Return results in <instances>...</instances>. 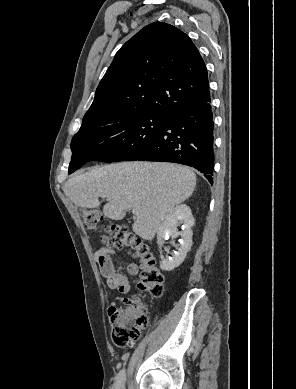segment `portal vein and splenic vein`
I'll use <instances>...</instances> for the list:
<instances>
[{
  "label": "portal vein and splenic vein",
  "instance_id": "obj_1",
  "mask_svg": "<svg viewBox=\"0 0 296 389\" xmlns=\"http://www.w3.org/2000/svg\"><path fill=\"white\" fill-rule=\"evenodd\" d=\"M132 213H133V214H136V210H135V209H132Z\"/></svg>",
  "mask_w": 296,
  "mask_h": 389
}]
</instances>
